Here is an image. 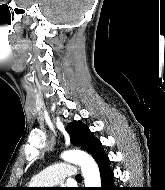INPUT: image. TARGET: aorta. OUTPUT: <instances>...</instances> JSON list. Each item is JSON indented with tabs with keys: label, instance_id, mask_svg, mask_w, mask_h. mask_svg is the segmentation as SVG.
Listing matches in <instances>:
<instances>
[{
	"label": "aorta",
	"instance_id": "aorta-1",
	"mask_svg": "<svg viewBox=\"0 0 165 190\" xmlns=\"http://www.w3.org/2000/svg\"><path fill=\"white\" fill-rule=\"evenodd\" d=\"M61 157L68 162L81 166L85 187H100L101 178L99 168L94 159L83 151L71 150L64 152Z\"/></svg>",
	"mask_w": 165,
	"mask_h": 190
}]
</instances>
